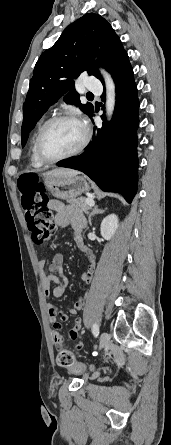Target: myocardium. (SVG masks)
I'll return each instance as SVG.
<instances>
[{
	"mask_svg": "<svg viewBox=\"0 0 171 445\" xmlns=\"http://www.w3.org/2000/svg\"><path fill=\"white\" fill-rule=\"evenodd\" d=\"M60 121H72L77 123L83 132V137L81 140V143L79 144V146L74 149L73 151L62 155L60 157H56V158H48L47 156L44 155L42 148H41V144H42V139L44 137V134L46 133V131L48 130V128L50 126H52L53 124L60 122ZM90 139V134H89V129L87 124L84 122V120H82L80 117L74 115V114H59V115H55L51 118H49L40 128L37 137H36V141H35V153L37 158L39 159L40 162H42L43 164H54L72 157H75L77 155H79L88 145Z\"/></svg>",
	"mask_w": 171,
	"mask_h": 445,
	"instance_id": "f54148a6",
	"label": "myocardium"
}]
</instances>
